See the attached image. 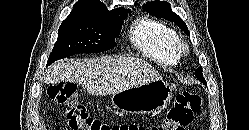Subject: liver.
I'll return each mask as SVG.
<instances>
[{
    "label": "liver",
    "instance_id": "1",
    "mask_svg": "<svg viewBox=\"0 0 249 130\" xmlns=\"http://www.w3.org/2000/svg\"><path fill=\"white\" fill-rule=\"evenodd\" d=\"M162 79L144 60L134 57H102L81 61H58L47 70L45 83H79L89 94L111 95Z\"/></svg>",
    "mask_w": 249,
    "mask_h": 130
}]
</instances>
